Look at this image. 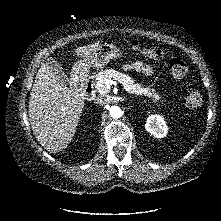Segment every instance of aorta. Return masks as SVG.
<instances>
[{
  "label": "aorta",
  "instance_id": "obj_1",
  "mask_svg": "<svg viewBox=\"0 0 221 221\" xmlns=\"http://www.w3.org/2000/svg\"><path fill=\"white\" fill-rule=\"evenodd\" d=\"M109 113L112 118H119L122 115L120 107L115 105L109 109Z\"/></svg>",
  "mask_w": 221,
  "mask_h": 221
}]
</instances>
